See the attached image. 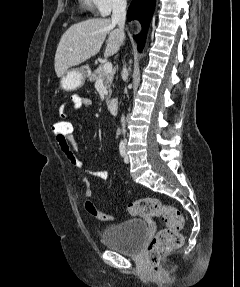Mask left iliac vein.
Masks as SVG:
<instances>
[{
	"mask_svg": "<svg viewBox=\"0 0 240 287\" xmlns=\"http://www.w3.org/2000/svg\"><path fill=\"white\" fill-rule=\"evenodd\" d=\"M124 161L125 163H129V157L127 153L125 154Z\"/></svg>",
	"mask_w": 240,
	"mask_h": 287,
	"instance_id": "left-iliac-vein-1",
	"label": "left iliac vein"
}]
</instances>
